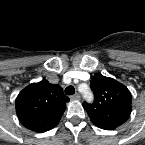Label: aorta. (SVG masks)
<instances>
[{
  "label": "aorta",
  "instance_id": "762f6f07",
  "mask_svg": "<svg viewBox=\"0 0 145 145\" xmlns=\"http://www.w3.org/2000/svg\"><path fill=\"white\" fill-rule=\"evenodd\" d=\"M84 98H86L88 101H91L93 99V94L91 93L89 89H87L84 92Z\"/></svg>",
  "mask_w": 145,
  "mask_h": 145
}]
</instances>
